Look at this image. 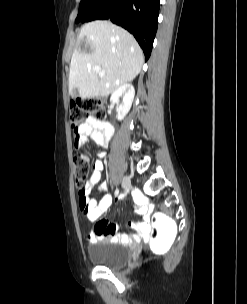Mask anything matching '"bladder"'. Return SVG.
<instances>
[{
  "label": "bladder",
  "mask_w": 247,
  "mask_h": 304,
  "mask_svg": "<svg viewBox=\"0 0 247 304\" xmlns=\"http://www.w3.org/2000/svg\"><path fill=\"white\" fill-rule=\"evenodd\" d=\"M130 252L129 245L108 239L100 240L87 249L88 258L93 264L110 269L122 267Z\"/></svg>",
  "instance_id": "31cf9c89"
}]
</instances>
